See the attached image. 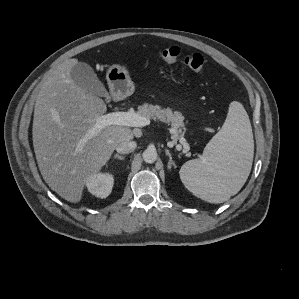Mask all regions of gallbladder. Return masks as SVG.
I'll use <instances>...</instances> for the list:
<instances>
[{
    "label": "gallbladder",
    "mask_w": 299,
    "mask_h": 299,
    "mask_svg": "<svg viewBox=\"0 0 299 299\" xmlns=\"http://www.w3.org/2000/svg\"><path fill=\"white\" fill-rule=\"evenodd\" d=\"M71 79L76 86L86 92L103 97L109 96L103 83L87 63L78 62L75 64L71 69Z\"/></svg>",
    "instance_id": "gallbladder-1"
}]
</instances>
